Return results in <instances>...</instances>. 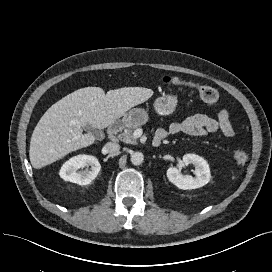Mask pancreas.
I'll return each instance as SVG.
<instances>
[{
    "label": "pancreas",
    "mask_w": 272,
    "mask_h": 272,
    "mask_svg": "<svg viewBox=\"0 0 272 272\" xmlns=\"http://www.w3.org/2000/svg\"><path fill=\"white\" fill-rule=\"evenodd\" d=\"M137 128L136 125L128 126L124 131L120 134V140L127 144H136V138L133 135L134 130Z\"/></svg>",
    "instance_id": "cf45deb5"
}]
</instances>
